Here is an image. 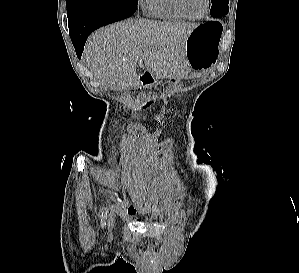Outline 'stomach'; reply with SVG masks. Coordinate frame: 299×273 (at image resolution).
<instances>
[{"label":"stomach","instance_id":"obj_1","mask_svg":"<svg viewBox=\"0 0 299 273\" xmlns=\"http://www.w3.org/2000/svg\"><path fill=\"white\" fill-rule=\"evenodd\" d=\"M222 30L219 21L198 25L186 41V64L199 71L213 67L219 56Z\"/></svg>","mask_w":299,"mask_h":273}]
</instances>
